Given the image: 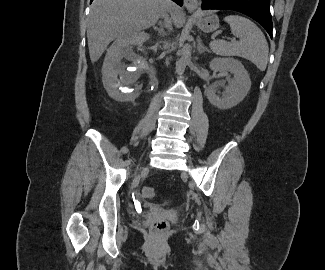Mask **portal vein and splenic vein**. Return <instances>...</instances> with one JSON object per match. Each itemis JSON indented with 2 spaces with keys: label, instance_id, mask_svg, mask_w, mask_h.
I'll use <instances>...</instances> for the list:
<instances>
[{
  "label": "portal vein and splenic vein",
  "instance_id": "1",
  "mask_svg": "<svg viewBox=\"0 0 325 270\" xmlns=\"http://www.w3.org/2000/svg\"><path fill=\"white\" fill-rule=\"evenodd\" d=\"M232 42H233V43H235V42H236V40H235V39H232Z\"/></svg>",
  "mask_w": 325,
  "mask_h": 270
}]
</instances>
